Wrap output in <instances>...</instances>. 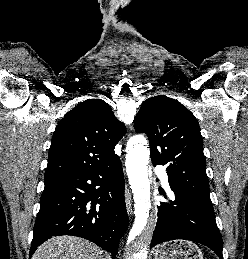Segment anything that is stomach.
Returning <instances> with one entry per match:
<instances>
[{"label":"stomach","instance_id":"stomach-1","mask_svg":"<svg viewBox=\"0 0 248 259\" xmlns=\"http://www.w3.org/2000/svg\"><path fill=\"white\" fill-rule=\"evenodd\" d=\"M154 259H203V254L196 244L175 240L158 247Z\"/></svg>","mask_w":248,"mask_h":259}]
</instances>
